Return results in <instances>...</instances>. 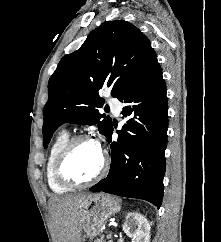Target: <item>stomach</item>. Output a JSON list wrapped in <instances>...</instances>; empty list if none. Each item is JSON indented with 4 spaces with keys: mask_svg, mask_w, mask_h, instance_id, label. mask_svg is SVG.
Returning <instances> with one entry per match:
<instances>
[{
    "mask_svg": "<svg viewBox=\"0 0 221 242\" xmlns=\"http://www.w3.org/2000/svg\"><path fill=\"white\" fill-rule=\"evenodd\" d=\"M121 209L120 200L103 193L90 194L80 204L78 217L84 237L90 239L101 233L104 222Z\"/></svg>",
    "mask_w": 221,
    "mask_h": 242,
    "instance_id": "stomach-1",
    "label": "stomach"
}]
</instances>
